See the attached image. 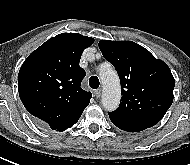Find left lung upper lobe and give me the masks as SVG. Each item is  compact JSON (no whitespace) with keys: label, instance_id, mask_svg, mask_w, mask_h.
I'll list each match as a JSON object with an SVG mask.
<instances>
[{"label":"left lung upper lobe","instance_id":"obj_1","mask_svg":"<svg viewBox=\"0 0 190 165\" xmlns=\"http://www.w3.org/2000/svg\"><path fill=\"white\" fill-rule=\"evenodd\" d=\"M98 46L121 83V102L110 119L142 130L157 124L173 102L175 82L167 64L132 41L101 40Z\"/></svg>","mask_w":190,"mask_h":165}]
</instances>
